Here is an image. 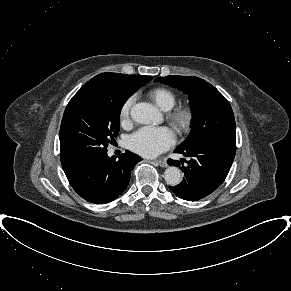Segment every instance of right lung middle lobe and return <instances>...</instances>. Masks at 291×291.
Returning <instances> with one entry per match:
<instances>
[{
    "instance_id": "1",
    "label": "right lung middle lobe",
    "mask_w": 291,
    "mask_h": 291,
    "mask_svg": "<svg viewBox=\"0 0 291 291\" xmlns=\"http://www.w3.org/2000/svg\"><path fill=\"white\" fill-rule=\"evenodd\" d=\"M132 94L105 85L75 94L60 127V158L64 172L107 151L119 133L122 106Z\"/></svg>"
}]
</instances>
